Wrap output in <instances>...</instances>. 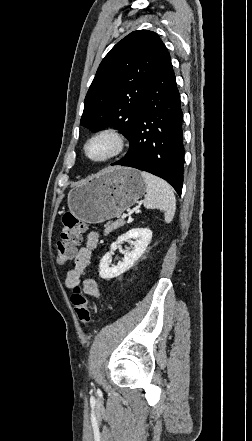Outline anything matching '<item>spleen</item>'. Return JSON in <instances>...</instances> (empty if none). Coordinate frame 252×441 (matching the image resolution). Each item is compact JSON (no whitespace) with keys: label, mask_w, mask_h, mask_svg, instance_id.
Masks as SVG:
<instances>
[{"label":"spleen","mask_w":252,"mask_h":441,"mask_svg":"<svg viewBox=\"0 0 252 441\" xmlns=\"http://www.w3.org/2000/svg\"><path fill=\"white\" fill-rule=\"evenodd\" d=\"M141 176L146 182L145 208L163 211L165 222L170 223L176 210V199L171 186L150 173L143 171Z\"/></svg>","instance_id":"3e777b00"}]
</instances>
